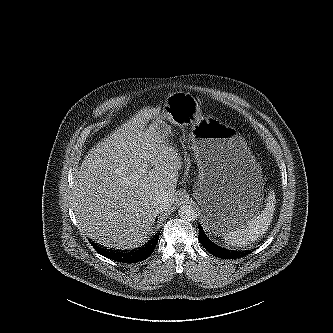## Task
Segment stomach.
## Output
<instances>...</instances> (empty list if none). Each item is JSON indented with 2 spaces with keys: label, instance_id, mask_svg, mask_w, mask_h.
<instances>
[{
  "label": "stomach",
  "instance_id": "obj_1",
  "mask_svg": "<svg viewBox=\"0 0 333 333\" xmlns=\"http://www.w3.org/2000/svg\"><path fill=\"white\" fill-rule=\"evenodd\" d=\"M165 120L181 125L190 121V141L199 167L194 197L203 211V226L220 243L243 229L268 209L270 191L261 169L244 139L214 118H201L194 96L177 92L168 96L163 113L152 122L155 131L169 139Z\"/></svg>",
  "mask_w": 333,
  "mask_h": 333
}]
</instances>
